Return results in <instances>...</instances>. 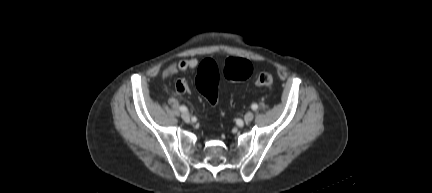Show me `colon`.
<instances>
[{"label": "colon", "instance_id": "1", "mask_svg": "<svg viewBox=\"0 0 432 193\" xmlns=\"http://www.w3.org/2000/svg\"><path fill=\"white\" fill-rule=\"evenodd\" d=\"M223 76L228 80H244L252 73V65L242 58H228L222 67ZM219 70L216 63L210 59L204 60L198 69L196 85L201 94L212 105L217 102ZM274 79L271 73H260L255 81L258 87H271Z\"/></svg>", "mask_w": 432, "mask_h": 193}]
</instances>
